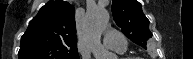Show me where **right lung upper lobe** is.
<instances>
[{"label":"right lung upper lobe","mask_w":193,"mask_h":59,"mask_svg":"<svg viewBox=\"0 0 193 59\" xmlns=\"http://www.w3.org/2000/svg\"><path fill=\"white\" fill-rule=\"evenodd\" d=\"M19 59H79L74 7L63 0L44 5L21 38Z\"/></svg>","instance_id":"obj_1"}]
</instances>
